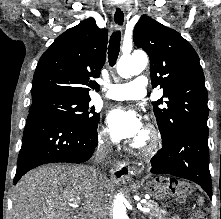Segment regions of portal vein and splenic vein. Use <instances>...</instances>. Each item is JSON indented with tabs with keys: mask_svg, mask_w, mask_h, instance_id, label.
<instances>
[{
	"mask_svg": "<svg viewBox=\"0 0 221 219\" xmlns=\"http://www.w3.org/2000/svg\"><path fill=\"white\" fill-rule=\"evenodd\" d=\"M138 209H139L140 211H142L143 213H148V212H150V208L142 207L141 204L138 205Z\"/></svg>",
	"mask_w": 221,
	"mask_h": 219,
	"instance_id": "portal-vein-and-splenic-vein-1",
	"label": "portal vein and splenic vein"
}]
</instances>
